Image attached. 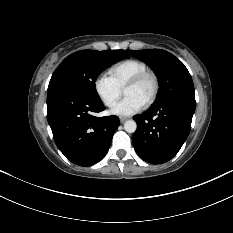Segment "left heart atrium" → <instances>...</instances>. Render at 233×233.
<instances>
[{"label": "left heart atrium", "instance_id": "left-heart-atrium-1", "mask_svg": "<svg viewBox=\"0 0 233 233\" xmlns=\"http://www.w3.org/2000/svg\"><path fill=\"white\" fill-rule=\"evenodd\" d=\"M144 106V102L134 96H126L116 104L111 113L118 116H131L138 113Z\"/></svg>", "mask_w": 233, "mask_h": 233}]
</instances>
